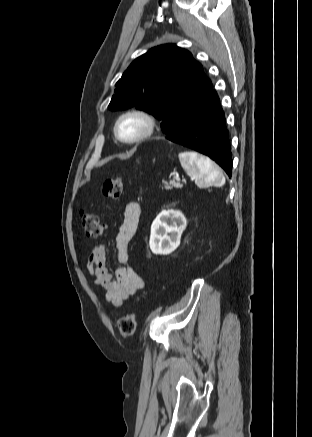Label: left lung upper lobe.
<instances>
[{
	"mask_svg": "<svg viewBox=\"0 0 312 437\" xmlns=\"http://www.w3.org/2000/svg\"><path fill=\"white\" fill-rule=\"evenodd\" d=\"M212 90L202 65L191 53L167 44L152 48L131 63L116 83L108 109L145 110L162 121V130L169 137Z\"/></svg>",
	"mask_w": 312,
	"mask_h": 437,
	"instance_id": "5c2ea615",
	"label": "left lung upper lobe"
}]
</instances>
